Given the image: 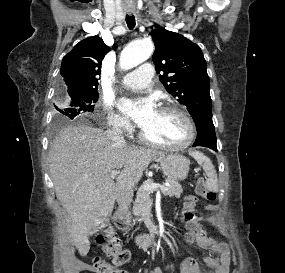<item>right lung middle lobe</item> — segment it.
<instances>
[{"label":"right lung middle lobe","instance_id":"obj_1","mask_svg":"<svg viewBox=\"0 0 285 273\" xmlns=\"http://www.w3.org/2000/svg\"><path fill=\"white\" fill-rule=\"evenodd\" d=\"M99 94L96 90L87 92L67 93L63 90L58 92V104L56 107V121L61 122L73 119L77 115L94 110V104L97 102Z\"/></svg>","mask_w":285,"mask_h":273}]
</instances>
